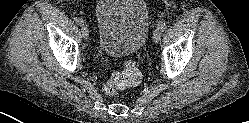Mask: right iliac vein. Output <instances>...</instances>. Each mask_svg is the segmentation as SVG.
<instances>
[{"label": "right iliac vein", "instance_id": "right-iliac-vein-1", "mask_svg": "<svg viewBox=\"0 0 249 123\" xmlns=\"http://www.w3.org/2000/svg\"><path fill=\"white\" fill-rule=\"evenodd\" d=\"M81 32H82V37L86 40L89 37V30L88 27L86 25H83L81 27Z\"/></svg>", "mask_w": 249, "mask_h": 123}]
</instances>
